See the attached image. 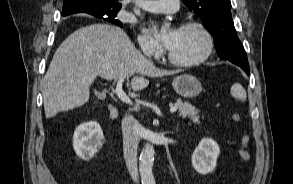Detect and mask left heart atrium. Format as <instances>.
Segmentation results:
<instances>
[{
    "label": "left heart atrium",
    "mask_w": 293,
    "mask_h": 184,
    "mask_svg": "<svg viewBox=\"0 0 293 184\" xmlns=\"http://www.w3.org/2000/svg\"><path fill=\"white\" fill-rule=\"evenodd\" d=\"M155 32H156L157 36L162 40L165 47L170 50L173 47V45L177 39L178 31L173 30V31H170L166 34H160V33H158L157 30H155Z\"/></svg>",
    "instance_id": "39dd6f15"
}]
</instances>
